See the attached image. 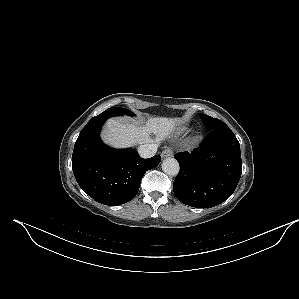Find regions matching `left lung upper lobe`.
Segmentation results:
<instances>
[{
  "instance_id": "1",
  "label": "left lung upper lobe",
  "mask_w": 299,
  "mask_h": 299,
  "mask_svg": "<svg viewBox=\"0 0 299 299\" xmlns=\"http://www.w3.org/2000/svg\"><path fill=\"white\" fill-rule=\"evenodd\" d=\"M199 116H200L203 124L205 125V127L208 130H212V129L216 128L217 126L225 124L223 121H220L219 119L212 118L211 116H208L203 113H199Z\"/></svg>"
}]
</instances>
